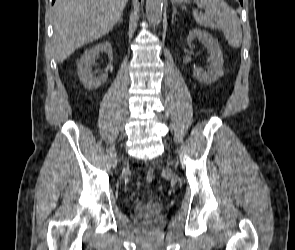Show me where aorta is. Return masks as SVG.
I'll list each match as a JSON object with an SVG mask.
<instances>
[{
    "label": "aorta",
    "mask_w": 295,
    "mask_h": 250,
    "mask_svg": "<svg viewBox=\"0 0 295 250\" xmlns=\"http://www.w3.org/2000/svg\"><path fill=\"white\" fill-rule=\"evenodd\" d=\"M163 0H146V15L149 21L158 24L162 17Z\"/></svg>",
    "instance_id": "1"
}]
</instances>
